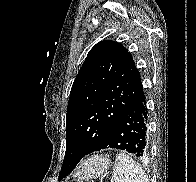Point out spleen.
Masks as SVG:
<instances>
[{
	"instance_id": "spleen-1",
	"label": "spleen",
	"mask_w": 196,
	"mask_h": 182,
	"mask_svg": "<svg viewBox=\"0 0 196 182\" xmlns=\"http://www.w3.org/2000/svg\"><path fill=\"white\" fill-rule=\"evenodd\" d=\"M111 182H149L142 167L129 155H116Z\"/></svg>"
}]
</instances>
